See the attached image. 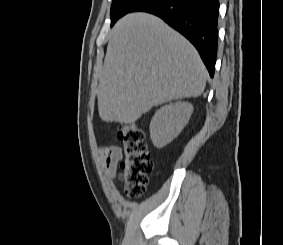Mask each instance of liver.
I'll return each mask as SVG.
<instances>
[{
    "label": "liver",
    "instance_id": "1",
    "mask_svg": "<svg viewBox=\"0 0 283 245\" xmlns=\"http://www.w3.org/2000/svg\"><path fill=\"white\" fill-rule=\"evenodd\" d=\"M206 79L187 39L154 15L127 14L113 29L99 73V116L133 124L154 106L200 96Z\"/></svg>",
    "mask_w": 283,
    "mask_h": 245
}]
</instances>
